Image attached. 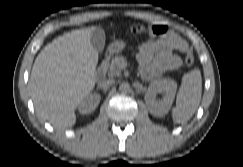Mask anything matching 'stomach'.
Masks as SVG:
<instances>
[{
  "instance_id": "0dacf381",
  "label": "stomach",
  "mask_w": 243,
  "mask_h": 167,
  "mask_svg": "<svg viewBox=\"0 0 243 167\" xmlns=\"http://www.w3.org/2000/svg\"><path fill=\"white\" fill-rule=\"evenodd\" d=\"M126 44L124 41H114L108 46V52L113 55L120 53L124 48Z\"/></svg>"
}]
</instances>
